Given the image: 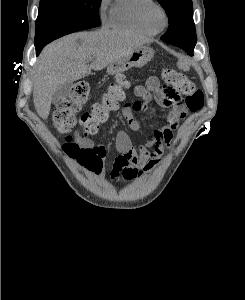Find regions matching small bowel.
Listing matches in <instances>:
<instances>
[{"label": "small bowel", "mask_w": 245, "mask_h": 300, "mask_svg": "<svg viewBox=\"0 0 245 300\" xmlns=\"http://www.w3.org/2000/svg\"><path fill=\"white\" fill-rule=\"evenodd\" d=\"M152 92L155 100L160 105L169 108L165 118L166 123L155 129L152 136L144 144L137 146L133 144L130 136L125 131H118L115 140L118 154L114 159L111 171V178L114 181L119 178L133 179L158 165L164 149L171 144L173 133L178 128L180 120L187 114V106L177 93L160 86L156 78H150L146 86L138 85L134 88L135 96L142 103L141 108L135 109L133 102L126 103L121 108L122 116L130 130H140L141 125L134 112L145 110L146 104L152 99ZM78 143L82 147L94 150L99 163L97 171H100L105 158V147L90 139L79 138Z\"/></svg>", "instance_id": "c3829d8e"}]
</instances>
